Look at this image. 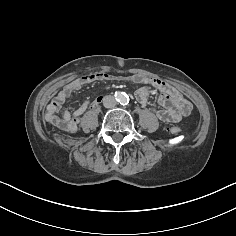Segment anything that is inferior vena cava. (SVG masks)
<instances>
[{
  "label": "inferior vena cava",
  "instance_id": "obj_1",
  "mask_svg": "<svg viewBox=\"0 0 236 236\" xmlns=\"http://www.w3.org/2000/svg\"><path fill=\"white\" fill-rule=\"evenodd\" d=\"M116 100L114 98V96L111 95H107L103 98V105L106 108H112L116 105Z\"/></svg>",
  "mask_w": 236,
  "mask_h": 236
}]
</instances>
